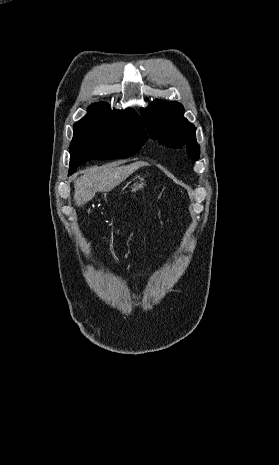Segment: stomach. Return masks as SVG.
<instances>
[{"label":"stomach","mask_w":279,"mask_h":465,"mask_svg":"<svg viewBox=\"0 0 279 465\" xmlns=\"http://www.w3.org/2000/svg\"><path fill=\"white\" fill-rule=\"evenodd\" d=\"M145 185V182L143 179H139L138 181L134 182L133 185L131 186L132 192H136L140 189H142Z\"/></svg>","instance_id":"0dacf381"}]
</instances>
